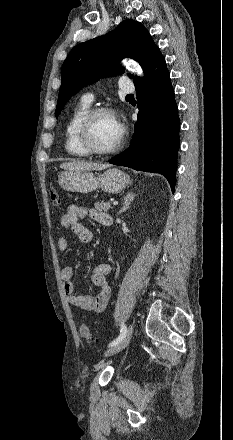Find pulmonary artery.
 Here are the masks:
<instances>
[{
  "label": "pulmonary artery",
  "mask_w": 233,
  "mask_h": 440,
  "mask_svg": "<svg viewBox=\"0 0 233 440\" xmlns=\"http://www.w3.org/2000/svg\"><path fill=\"white\" fill-rule=\"evenodd\" d=\"M123 80L120 83V89L121 91L125 92V93H130L133 92L135 90L134 85L129 82V81H125V77H123ZM94 97L92 94H86L82 97V102L90 104L93 101Z\"/></svg>",
  "instance_id": "1"
}]
</instances>
